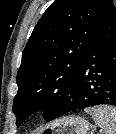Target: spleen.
<instances>
[{"label": "spleen", "mask_w": 116, "mask_h": 134, "mask_svg": "<svg viewBox=\"0 0 116 134\" xmlns=\"http://www.w3.org/2000/svg\"><path fill=\"white\" fill-rule=\"evenodd\" d=\"M85 112L93 117L105 134H116V108L102 105L86 108Z\"/></svg>", "instance_id": "1"}]
</instances>
